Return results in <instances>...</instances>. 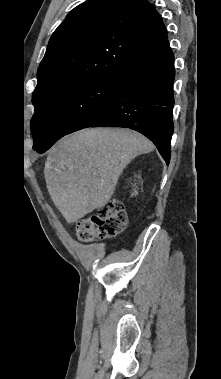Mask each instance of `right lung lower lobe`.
I'll return each mask as SVG.
<instances>
[{
    "instance_id": "obj_1",
    "label": "right lung lower lobe",
    "mask_w": 221,
    "mask_h": 379,
    "mask_svg": "<svg viewBox=\"0 0 221 379\" xmlns=\"http://www.w3.org/2000/svg\"><path fill=\"white\" fill-rule=\"evenodd\" d=\"M174 77V56L170 47L125 69L120 73L111 103L90 127L136 130L156 145L169 164L174 130ZM50 147L34 150L43 153Z\"/></svg>"
}]
</instances>
